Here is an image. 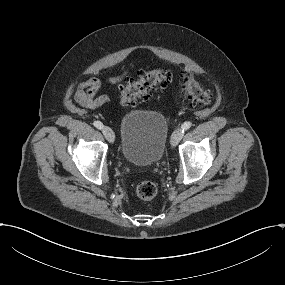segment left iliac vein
Returning <instances> with one entry per match:
<instances>
[{"label":"left iliac vein","mask_w":285,"mask_h":285,"mask_svg":"<svg viewBox=\"0 0 285 285\" xmlns=\"http://www.w3.org/2000/svg\"><path fill=\"white\" fill-rule=\"evenodd\" d=\"M182 135H183L182 129L175 130L171 136V145L176 146L180 142Z\"/></svg>","instance_id":"obj_1"}]
</instances>
